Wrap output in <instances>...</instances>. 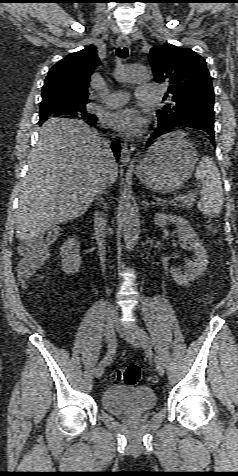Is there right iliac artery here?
<instances>
[{"label":"right iliac artery","instance_id":"obj_1","mask_svg":"<svg viewBox=\"0 0 238 476\" xmlns=\"http://www.w3.org/2000/svg\"><path fill=\"white\" fill-rule=\"evenodd\" d=\"M106 333H107L106 343L108 344V351H107L106 356L101 361V363H104L105 365L109 364L112 361V359L114 358L115 353H116V345H117V342H118L116 337L113 335V332L110 328L106 329Z\"/></svg>","mask_w":238,"mask_h":476}]
</instances>
